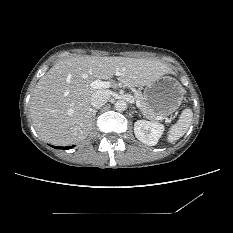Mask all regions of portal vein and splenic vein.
Masks as SVG:
<instances>
[{
	"label": "portal vein and splenic vein",
	"instance_id": "18ae733b",
	"mask_svg": "<svg viewBox=\"0 0 233 233\" xmlns=\"http://www.w3.org/2000/svg\"><path fill=\"white\" fill-rule=\"evenodd\" d=\"M90 86H91L93 89L109 88V87H111V83H110V82H106V81H101V80H95V81H93V82L90 84ZM136 106H137L138 108H140V103H139V101H136ZM157 119H158V120H160V119H166V121H169L168 118H166V117L163 118V117H161V116H159Z\"/></svg>",
	"mask_w": 233,
	"mask_h": 233
}]
</instances>
